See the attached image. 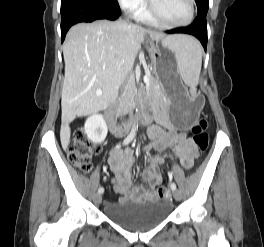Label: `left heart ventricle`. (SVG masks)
Here are the masks:
<instances>
[{
    "mask_svg": "<svg viewBox=\"0 0 264 247\" xmlns=\"http://www.w3.org/2000/svg\"><path fill=\"white\" fill-rule=\"evenodd\" d=\"M157 13L168 22H183L189 17L188 0H152Z\"/></svg>",
    "mask_w": 264,
    "mask_h": 247,
    "instance_id": "obj_1",
    "label": "left heart ventricle"
}]
</instances>
